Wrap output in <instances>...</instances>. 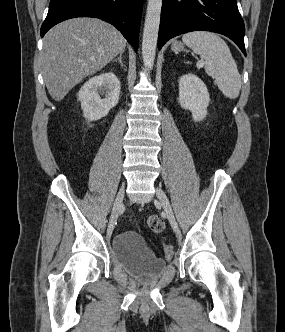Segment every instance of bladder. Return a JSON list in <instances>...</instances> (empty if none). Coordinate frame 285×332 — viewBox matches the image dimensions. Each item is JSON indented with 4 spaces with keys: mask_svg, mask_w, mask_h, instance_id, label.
<instances>
[{
    "mask_svg": "<svg viewBox=\"0 0 285 332\" xmlns=\"http://www.w3.org/2000/svg\"><path fill=\"white\" fill-rule=\"evenodd\" d=\"M111 255L116 264L141 280L152 279L166 268V263L156 257L141 236L133 231L114 236Z\"/></svg>",
    "mask_w": 285,
    "mask_h": 332,
    "instance_id": "31cf9c89",
    "label": "bladder"
}]
</instances>
